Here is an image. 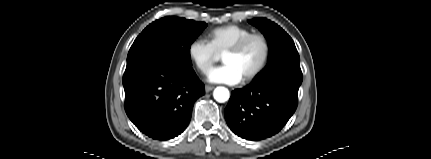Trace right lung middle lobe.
<instances>
[{"label":"right lung middle lobe","instance_id":"obj_1","mask_svg":"<svg viewBox=\"0 0 431 159\" xmlns=\"http://www.w3.org/2000/svg\"><path fill=\"white\" fill-rule=\"evenodd\" d=\"M207 26L179 17H164L148 25L132 44L127 65L148 56H163L191 67L190 47Z\"/></svg>","mask_w":431,"mask_h":159}]
</instances>
